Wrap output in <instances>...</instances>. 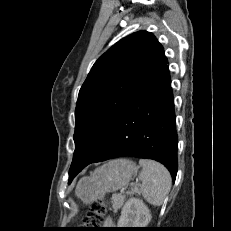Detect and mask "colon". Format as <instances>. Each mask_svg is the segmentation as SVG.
Listing matches in <instances>:
<instances>
[{"instance_id": "colon-1", "label": "colon", "mask_w": 231, "mask_h": 231, "mask_svg": "<svg viewBox=\"0 0 231 231\" xmlns=\"http://www.w3.org/2000/svg\"><path fill=\"white\" fill-rule=\"evenodd\" d=\"M109 209L107 201L101 200L95 202L86 216L84 223L92 226H97L103 222L104 216Z\"/></svg>"}]
</instances>
